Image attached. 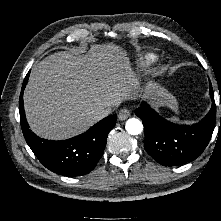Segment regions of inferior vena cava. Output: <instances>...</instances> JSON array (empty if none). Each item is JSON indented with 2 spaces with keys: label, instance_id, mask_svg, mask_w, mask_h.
<instances>
[{
  "label": "inferior vena cava",
  "instance_id": "602c4592",
  "mask_svg": "<svg viewBox=\"0 0 221 221\" xmlns=\"http://www.w3.org/2000/svg\"><path fill=\"white\" fill-rule=\"evenodd\" d=\"M110 113H111V110L109 108L101 106V107L96 108L92 114L95 118L99 119V118H103L109 115Z\"/></svg>",
  "mask_w": 221,
  "mask_h": 221
}]
</instances>
